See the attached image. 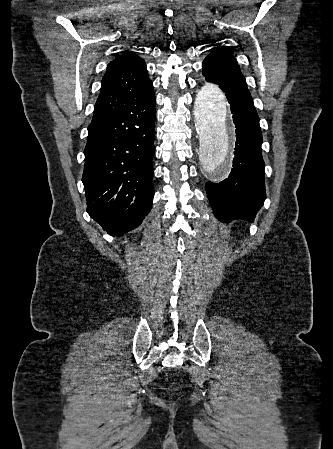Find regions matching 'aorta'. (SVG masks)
I'll return each mask as SVG.
<instances>
[{
	"mask_svg": "<svg viewBox=\"0 0 333 449\" xmlns=\"http://www.w3.org/2000/svg\"><path fill=\"white\" fill-rule=\"evenodd\" d=\"M228 103L223 91L211 83L200 87L195 100V118L202 139L198 163L214 178L228 168L234 149Z\"/></svg>",
	"mask_w": 333,
	"mask_h": 449,
	"instance_id": "1",
	"label": "aorta"
}]
</instances>
